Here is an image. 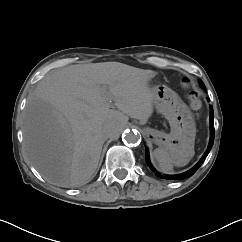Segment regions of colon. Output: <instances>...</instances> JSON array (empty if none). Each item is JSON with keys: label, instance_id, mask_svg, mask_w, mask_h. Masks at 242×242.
Wrapping results in <instances>:
<instances>
[{"label": "colon", "instance_id": "1", "mask_svg": "<svg viewBox=\"0 0 242 242\" xmlns=\"http://www.w3.org/2000/svg\"><path fill=\"white\" fill-rule=\"evenodd\" d=\"M183 85L185 87H188L190 85V79L189 78H184L183 79ZM189 103L191 108L195 111L198 112L201 108L202 102L199 97V94L195 91L191 92L189 95Z\"/></svg>", "mask_w": 242, "mask_h": 242}]
</instances>
